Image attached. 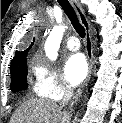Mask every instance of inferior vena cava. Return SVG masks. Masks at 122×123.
I'll list each match as a JSON object with an SVG mask.
<instances>
[{"label": "inferior vena cava", "mask_w": 122, "mask_h": 123, "mask_svg": "<svg viewBox=\"0 0 122 123\" xmlns=\"http://www.w3.org/2000/svg\"><path fill=\"white\" fill-rule=\"evenodd\" d=\"M73 96V88L70 85H66L65 87V96L63 98V100L60 101V106L64 107L68 104L69 100L72 98Z\"/></svg>", "instance_id": "inferior-vena-cava-1"}]
</instances>
